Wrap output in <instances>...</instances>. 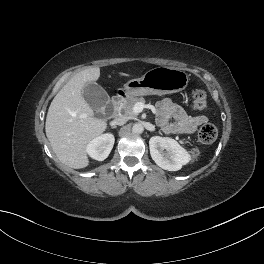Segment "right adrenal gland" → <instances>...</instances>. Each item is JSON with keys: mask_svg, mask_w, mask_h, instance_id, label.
Here are the masks:
<instances>
[{"mask_svg": "<svg viewBox=\"0 0 264 264\" xmlns=\"http://www.w3.org/2000/svg\"><path fill=\"white\" fill-rule=\"evenodd\" d=\"M111 128H112V129H115V128H116V126H112Z\"/></svg>", "mask_w": 264, "mask_h": 264, "instance_id": "1", "label": "right adrenal gland"}]
</instances>
